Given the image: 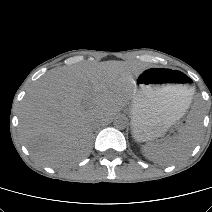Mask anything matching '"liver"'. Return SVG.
Returning a JSON list of instances; mask_svg holds the SVG:
<instances>
[{"label":"liver","mask_w":212,"mask_h":212,"mask_svg":"<svg viewBox=\"0 0 212 212\" xmlns=\"http://www.w3.org/2000/svg\"><path fill=\"white\" fill-rule=\"evenodd\" d=\"M136 63L105 61L53 69L29 90L19 111V135L32 156L50 167L86 157L93 127L112 119L134 97ZM91 101L92 107L83 105Z\"/></svg>","instance_id":"liver-1"}]
</instances>
